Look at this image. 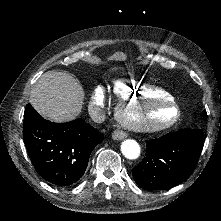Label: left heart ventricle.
Returning a JSON list of instances; mask_svg holds the SVG:
<instances>
[{
  "label": "left heart ventricle",
  "mask_w": 221,
  "mask_h": 221,
  "mask_svg": "<svg viewBox=\"0 0 221 221\" xmlns=\"http://www.w3.org/2000/svg\"><path fill=\"white\" fill-rule=\"evenodd\" d=\"M178 111L174 105L161 106L153 109L148 106L139 108L122 109L118 113V120L122 124L146 122H171L177 118Z\"/></svg>",
  "instance_id": "left-heart-ventricle-1"
}]
</instances>
